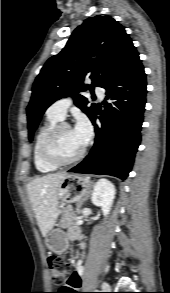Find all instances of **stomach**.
<instances>
[{
  "mask_svg": "<svg viewBox=\"0 0 170 293\" xmlns=\"http://www.w3.org/2000/svg\"><path fill=\"white\" fill-rule=\"evenodd\" d=\"M90 177L67 174L61 182L58 192V203L81 202L88 196L91 188ZM46 246L56 254H62L68 248V239L61 229L50 230L46 236Z\"/></svg>",
  "mask_w": 170,
  "mask_h": 293,
  "instance_id": "stomach-1",
  "label": "stomach"
}]
</instances>
